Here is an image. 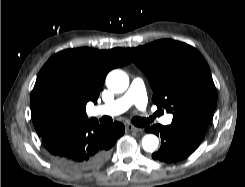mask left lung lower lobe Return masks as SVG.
<instances>
[{"instance_id": "left-lung-lower-lobe-1", "label": "left lung lower lobe", "mask_w": 245, "mask_h": 187, "mask_svg": "<svg viewBox=\"0 0 245 187\" xmlns=\"http://www.w3.org/2000/svg\"><path fill=\"white\" fill-rule=\"evenodd\" d=\"M206 130L204 124H156L145 128L146 132L161 137V147L152 157L166 163H176L191 155L200 145Z\"/></svg>"}]
</instances>
